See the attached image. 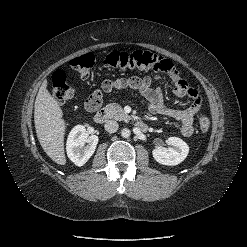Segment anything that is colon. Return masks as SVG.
I'll list each match as a JSON object with an SVG mask.
<instances>
[{
    "label": "colon",
    "mask_w": 247,
    "mask_h": 247,
    "mask_svg": "<svg viewBox=\"0 0 247 247\" xmlns=\"http://www.w3.org/2000/svg\"><path fill=\"white\" fill-rule=\"evenodd\" d=\"M95 64L94 55L87 53L70 61V66L81 77L88 78ZM103 64L105 67L120 71L128 70H151L153 72L176 73L172 63L150 51H135L132 53L114 51L108 54ZM52 96L54 100L63 104L75 95V89L67 83L65 72L58 70L53 76ZM197 124L202 132L210 127V119L206 114L198 116Z\"/></svg>",
    "instance_id": "colon-1"
}]
</instances>
